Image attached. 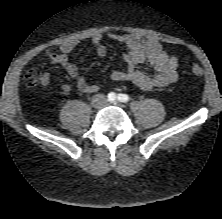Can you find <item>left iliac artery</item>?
<instances>
[{
	"label": "left iliac artery",
	"instance_id": "1",
	"mask_svg": "<svg viewBox=\"0 0 222 219\" xmlns=\"http://www.w3.org/2000/svg\"><path fill=\"white\" fill-rule=\"evenodd\" d=\"M117 99H118L120 102H128L130 98H129V96L126 95V94H118Z\"/></svg>",
	"mask_w": 222,
	"mask_h": 219
}]
</instances>
